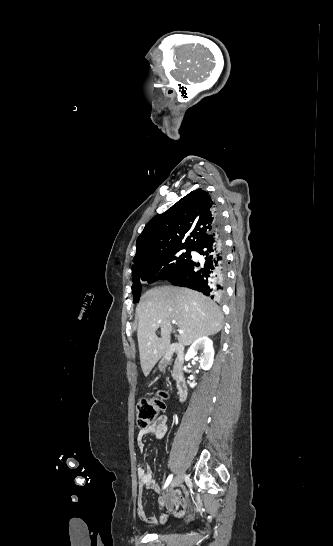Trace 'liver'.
I'll return each mask as SVG.
<instances>
[{
	"mask_svg": "<svg viewBox=\"0 0 333 546\" xmlns=\"http://www.w3.org/2000/svg\"><path fill=\"white\" fill-rule=\"evenodd\" d=\"M139 319L137 337L141 368L148 376L165 355L171 343L172 320L184 331L177 339L188 346L197 339L217 334L222 329L223 314L211 299L183 287H155L141 297L136 307ZM161 329V338L156 336Z\"/></svg>",
	"mask_w": 333,
	"mask_h": 546,
	"instance_id": "liver-1",
	"label": "liver"
}]
</instances>
